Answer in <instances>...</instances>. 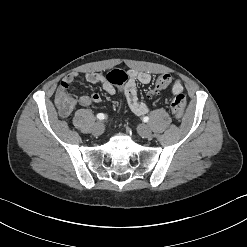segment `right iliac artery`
Here are the masks:
<instances>
[{
    "mask_svg": "<svg viewBox=\"0 0 247 247\" xmlns=\"http://www.w3.org/2000/svg\"><path fill=\"white\" fill-rule=\"evenodd\" d=\"M97 118H98L99 120H103V119L106 118V116H105L103 113H99V114H97Z\"/></svg>",
    "mask_w": 247,
    "mask_h": 247,
    "instance_id": "obj_1",
    "label": "right iliac artery"
}]
</instances>
